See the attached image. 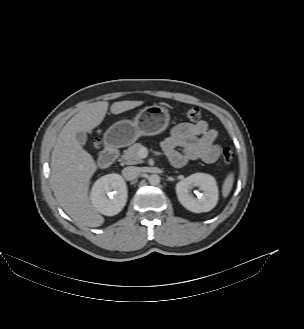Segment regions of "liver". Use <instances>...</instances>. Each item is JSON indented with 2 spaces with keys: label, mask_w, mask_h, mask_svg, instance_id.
Masks as SVG:
<instances>
[{
  "label": "liver",
  "mask_w": 304,
  "mask_h": 329,
  "mask_svg": "<svg viewBox=\"0 0 304 329\" xmlns=\"http://www.w3.org/2000/svg\"><path fill=\"white\" fill-rule=\"evenodd\" d=\"M143 103L114 102L110 111L117 115ZM108 105L106 101L90 103L75 114L61 130L51 156V184L57 201L72 219L89 227H99L104 223L88 195L90 179L97 166L77 141L76 133H91L103 121Z\"/></svg>",
  "instance_id": "1"
}]
</instances>
